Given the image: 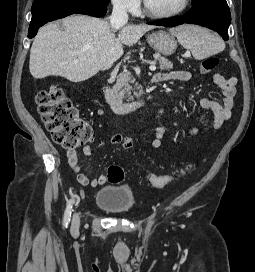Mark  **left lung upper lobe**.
<instances>
[{"label":"left lung upper lobe","instance_id":"left-lung-upper-lobe-1","mask_svg":"<svg viewBox=\"0 0 255 272\" xmlns=\"http://www.w3.org/2000/svg\"><path fill=\"white\" fill-rule=\"evenodd\" d=\"M196 1H198V0H193V2H196Z\"/></svg>","mask_w":255,"mask_h":272}]
</instances>
